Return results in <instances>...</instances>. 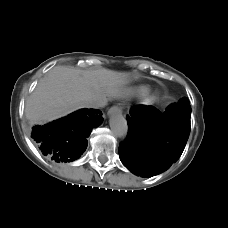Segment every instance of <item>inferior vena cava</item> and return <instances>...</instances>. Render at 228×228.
Segmentation results:
<instances>
[{
  "label": "inferior vena cava",
  "instance_id": "inferior-vena-cava-1",
  "mask_svg": "<svg viewBox=\"0 0 228 228\" xmlns=\"http://www.w3.org/2000/svg\"><path fill=\"white\" fill-rule=\"evenodd\" d=\"M107 101L103 98H94L85 102L87 108H101L106 105Z\"/></svg>",
  "mask_w": 228,
  "mask_h": 228
}]
</instances>
